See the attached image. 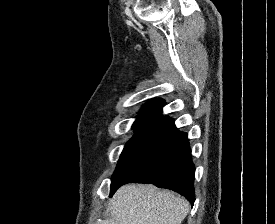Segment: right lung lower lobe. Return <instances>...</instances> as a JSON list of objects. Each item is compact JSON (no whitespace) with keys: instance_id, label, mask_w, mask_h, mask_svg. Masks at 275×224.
Instances as JSON below:
<instances>
[{"instance_id":"98d812e1","label":"right lung lower lobe","mask_w":275,"mask_h":224,"mask_svg":"<svg viewBox=\"0 0 275 224\" xmlns=\"http://www.w3.org/2000/svg\"><path fill=\"white\" fill-rule=\"evenodd\" d=\"M195 167L188 136L165 116L112 177L110 197L127 183H151L183 195L192 205Z\"/></svg>"}]
</instances>
